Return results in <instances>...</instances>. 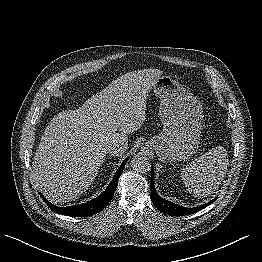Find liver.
I'll list each match as a JSON object with an SVG mask.
<instances>
[{
    "mask_svg": "<svg viewBox=\"0 0 262 262\" xmlns=\"http://www.w3.org/2000/svg\"><path fill=\"white\" fill-rule=\"evenodd\" d=\"M158 69L128 72L86 100L58 113L46 127L33 158L31 182L49 201L65 203L95 179L108 146L127 142L145 121L147 95Z\"/></svg>",
    "mask_w": 262,
    "mask_h": 262,
    "instance_id": "obj_1",
    "label": "liver"
}]
</instances>
